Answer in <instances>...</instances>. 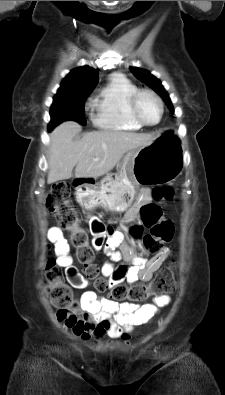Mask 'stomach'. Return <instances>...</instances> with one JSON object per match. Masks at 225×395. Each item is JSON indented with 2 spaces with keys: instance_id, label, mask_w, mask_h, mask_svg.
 Returning <instances> with one entry per match:
<instances>
[{
  "instance_id": "0dacf381",
  "label": "stomach",
  "mask_w": 225,
  "mask_h": 395,
  "mask_svg": "<svg viewBox=\"0 0 225 395\" xmlns=\"http://www.w3.org/2000/svg\"><path fill=\"white\" fill-rule=\"evenodd\" d=\"M180 171L178 159L155 139L149 145L129 151L118 174H108L96 187H79L77 199L87 209L101 206L123 212L133 203L139 186L169 183Z\"/></svg>"
}]
</instances>
